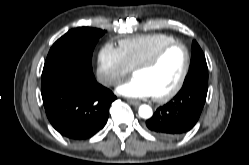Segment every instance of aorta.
Returning <instances> with one entry per match:
<instances>
[{"label":"aorta","instance_id":"762f6f07","mask_svg":"<svg viewBox=\"0 0 249 165\" xmlns=\"http://www.w3.org/2000/svg\"><path fill=\"white\" fill-rule=\"evenodd\" d=\"M138 113L141 118L148 119L152 116L153 111L149 105L144 104L139 107Z\"/></svg>","mask_w":249,"mask_h":165}]
</instances>
